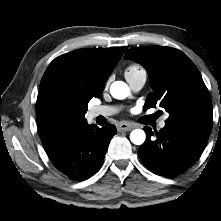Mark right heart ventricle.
I'll return each instance as SVG.
<instances>
[{
  "mask_svg": "<svg viewBox=\"0 0 221 221\" xmlns=\"http://www.w3.org/2000/svg\"><path fill=\"white\" fill-rule=\"evenodd\" d=\"M138 69H139L138 66H131V67H129V69H128V70H129L128 73H135V72L139 71Z\"/></svg>",
  "mask_w": 221,
  "mask_h": 221,
  "instance_id": "1",
  "label": "right heart ventricle"
}]
</instances>
